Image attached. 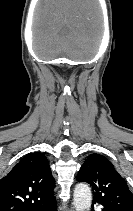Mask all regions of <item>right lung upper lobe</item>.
Wrapping results in <instances>:
<instances>
[{
  "label": "right lung upper lobe",
  "instance_id": "cb5924a9",
  "mask_svg": "<svg viewBox=\"0 0 133 211\" xmlns=\"http://www.w3.org/2000/svg\"><path fill=\"white\" fill-rule=\"evenodd\" d=\"M46 156L30 153L0 181V211H38L55 197Z\"/></svg>",
  "mask_w": 133,
  "mask_h": 211
}]
</instances>
